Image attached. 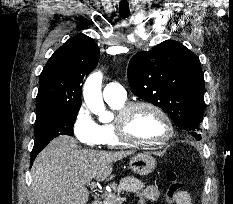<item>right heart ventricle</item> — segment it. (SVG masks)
<instances>
[{
    "label": "right heart ventricle",
    "mask_w": 233,
    "mask_h": 204,
    "mask_svg": "<svg viewBox=\"0 0 233 204\" xmlns=\"http://www.w3.org/2000/svg\"><path fill=\"white\" fill-rule=\"evenodd\" d=\"M107 103L116 112H119L121 108L125 106V101H109ZM99 131H100L101 145L107 147H120L126 145L117 136L115 129V121L100 124Z\"/></svg>",
    "instance_id": "right-heart-ventricle-1"
}]
</instances>
